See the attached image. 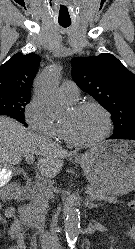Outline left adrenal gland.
Wrapping results in <instances>:
<instances>
[{
	"mask_svg": "<svg viewBox=\"0 0 135 249\" xmlns=\"http://www.w3.org/2000/svg\"><path fill=\"white\" fill-rule=\"evenodd\" d=\"M86 207H88L89 209L92 208H97L98 206H100V204H94L92 203L89 198L86 199V203H85Z\"/></svg>",
	"mask_w": 135,
	"mask_h": 249,
	"instance_id": "obj_1",
	"label": "left adrenal gland"
}]
</instances>
